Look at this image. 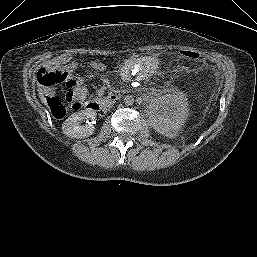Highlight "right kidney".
Listing matches in <instances>:
<instances>
[{
  "label": "right kidney",
  "instance_id": "right-kidney-1",
  "mask_svg": "<svg viewBox=\"0 0 257 257\" xmlns=\"http://www.w3.org/2000/svg\"><path fill=\"white\" fill-rule=\"evenodd\" d=\"M96 113L91 110H82L69 116L62 125L63 133L71 138L82 139L92 135L95 131L93 121ZM90 120L86 125H81L84 120Z\"/></svg>",
  "mask_w": 257,
  "mask_h": 257
}]
</instances>
